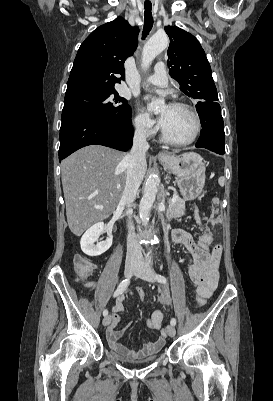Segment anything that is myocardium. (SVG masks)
Instances as JSON below:
<instances>
[{
  "label": "myocardium",
  "instance_id": "f54148a6",
  "mask_svg": "<svg viewBox=\"0 0 273 401\" xmlns=\"http://www.w3.org/2000/svg\"><path fill=\"white\" fill-rule=\"evenodd\" d=\"M170 106L178 107V108H181V109L187 111L193 117V119L195 121L196 129H195V133L193 134V136L191 138H189L187 140H178V139L172 138L170 135H168L167 132L162 127V125H160L161 136H162L163 141L168 144L177 145V146H186V145H190V144L194 143L199 138V136L202 132V120H201L200 115L194 110V108L192 106L185 104V103L174 102Z\"/></svg>",
  "mask_w": 273,
  "mask_h": 401
}]
</instances>
